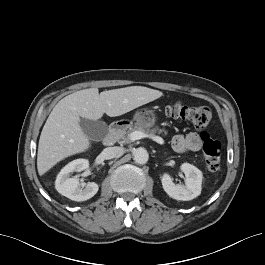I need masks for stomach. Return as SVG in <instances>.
Listing matches in <instances>:
<instances>
[{"instance_id":"obj_1","label":"stomach","mask_w":265,"mask_h":265,"mask_svg":"<svg viewBox=\"0 0 265 265\" xmlns=\"http://www.w3.org/2000/svg\"><path fill=\"white\" fill-rule=\"evenodd\" d=\"M133 120L136 122V125H140L143 128H150L156 122V115L153 110L139 109L135 112Z\"/></svg>"}]
</instances>
